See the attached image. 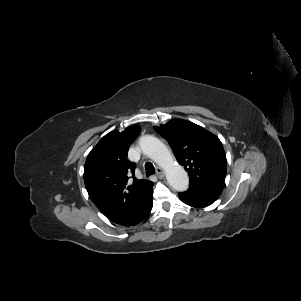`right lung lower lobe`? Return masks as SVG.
Returning <instances> with one entry per match:
<instances>
[{
  "instance_id": "98d812e1",
  "label": "right lung lower lobe",
  "mask_w": 301,
  "mask_h": 301,
  "mask_svg": "<svg viewBox=\"0 0 301 301\" xmlns=\"http://www.w3.org/2000/svg\"><path fill=\"white\" fill-rule=\"evenodd\" d=\"M152 190H153V186L146 194L145 199L141 204L140 208L136 211L133 217H131L125 224H123L124 226L136 225L149 215L152 209V199H153Z\"/></svg>"
}]
</instances>
